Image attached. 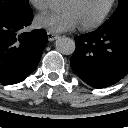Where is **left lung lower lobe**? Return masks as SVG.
I'll return each mask as SVG.
<instances>
[{
    "mask_svg": "<svg viewBox=\"0 0 128 128\" xmlns=\"http://www.w3.org/2000/svg\"><path fill=\"white\" fill-rule=\"evenodd\" d=\"M73 72L88 85L104 88L128 74V19L75 38Z\"/></svg>",
    "mask_w": 128,
    "mask_h": 128,
    "instance_id": "0a47b994",
    "label": "left lung lower lobe"
}]
</instances>
